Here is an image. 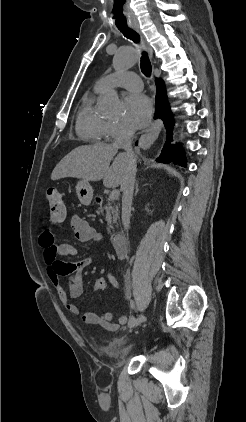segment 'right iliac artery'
Instances as JSON below:
<instances>
[{"label":"right iliac artery","mask_w":246,"mask_h":422,"mask_svg":"<svg viewBox=\"0 0 246 422\" xmlns=\"http://www.w3.org/2000/svg\"><path fill=\"white\" fill-rule=\"evenodd\" d=\"M135 323H136V318L135 317H131L130 320H129V322H128V325L130 327H134L135 326Z\"/></svg>","instance_id":"right-iliac-artery-1"}]
</instances>
